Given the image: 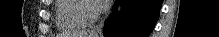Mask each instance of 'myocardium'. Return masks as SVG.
I'll list each match as a JSON object with an SVG mask.
<instances>
[{
    "label": "myocardium",
    "mask_w": 219,
    "mask_h": 37,
    "mask_svg": "<svg viewBox=\"0 0 219 37\" xmlns=\"http://www.w3.org/2000/svg\"><path fill=\"white\" fill-rule=\"evenodd\" d=\"M106 7H97L95 1L86 0L83 7V14L89 22L97 21L105 12Z\"/></svg>",
    "instance_id": "obj_1"
}]
</instances>
